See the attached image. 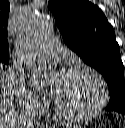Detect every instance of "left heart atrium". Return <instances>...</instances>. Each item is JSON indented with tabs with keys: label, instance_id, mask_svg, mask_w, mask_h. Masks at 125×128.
<instances>
[{
	"label": "left heart atrium",
	"instance_id": "39dd6f15",
	"mask_svg": "<svg viewBox=\"0 0 125 128\" xmlns=\"http://www.w3.org/2000/svg\"><path fill=\"white\" fill-rule=\"evenodd\" d=\"M62 81H63V76H61V75L56 76V78L54 80L53 88L51 90V95L52 96L55 97L57 95L58 90H59V88L62 84Z\"/></svg>",
	"mask_w": 125,
	"mask_h": 128
}]
</instances>
